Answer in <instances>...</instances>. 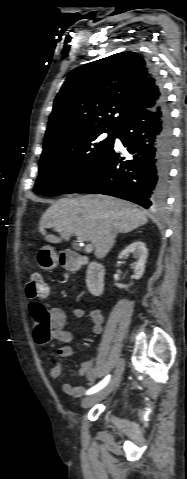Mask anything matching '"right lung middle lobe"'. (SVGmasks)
I'll return each mask as SVG.
<instances>
[{
    "mask_svg": "<svg viewBox=\"0 0 187 479\" xmlns=\"http://www.w3.org/2000/svg\"><path fill=\"white\" fill-rule=\"evenodd\" d=\"M117 131L87 130L44 146L34 192L48 196L65 193L113 147Z\"/></svg>",
    "mask_w": 187,
    "mask_h": 479,
    "instance_id": "dd1d6c3e",
    "label": "right lung middle lobe"
}]
</instances>
